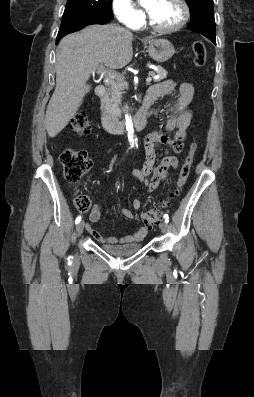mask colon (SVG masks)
<instances>
[{"label":"colon","mask_w":254,"mask_h":397,"mask_svg":"<svg viewBox=\"0 0 254 397\" xmlns=\"http://www.w3.org/2000/svg\"><path fill=\"white\" fill-rule=\"evenodd\" d=\"M191 50L194 54L195 65L197 67L203 66L206 59V49L203 42L194 41L191 44ZM69 128L75 134L88 135L91 132V124L88 116L84 113L76 115L70 121ZM196 150L197 142H192L172 193L165 199L161 200L158 208L148 210L142 214V221L146 225L157 223L160 219L161 209L167 207L171 199L181 192L188 179ZM60 161L63 166L66 181L73 186H76L81 182L83 176L92 166L91 159L83 150L66 149L61 153ZM74 202L77 209L81 211L87 210L90 206V200L84 194H78L75 197Z\"/></svg>","instance_id":"5ec220e1"}]
</instances>
